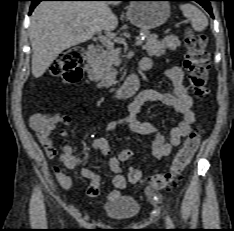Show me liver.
I'll use <instances>...</instances> for the list:
<instances>
[{"mask_svg":"<svg viewBox=\"0 0 234 231\" xmlns=\"http://www.w3.org/2000/svg\"><path fill=\"white\" fill-rule=\"evenodd\" d=\"M103 1H45L31 16L29 37L33 50L32 74L41 77L64 50L87 42L96 33L118 25L110 5Z\"/></svg>","mask_w":234,"mask_h":231,"instance_id":"1","label":"liver"}]
</instances>
